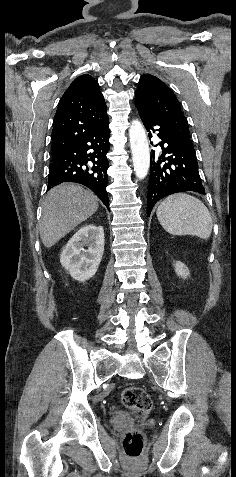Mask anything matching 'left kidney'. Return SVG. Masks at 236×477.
I'll use <instances>...</instances> for the list:
<instances>
[{"instance_id":"5707ae66","label":"left kidney","mask_w":236,"mask_h":477,"mask_svg":"<svg viewBox=\"0 0 236 477\" xmlns=\"http://www.w3.org/2000/svg\"><path fill=\"white\" fill-rule=\"evenodd\" d=\"M174 266L175 272L178 276L182 278H187V276H189V269L185 266V264L180 261H177Z\"/></svg>"}]
</instances>
